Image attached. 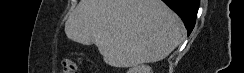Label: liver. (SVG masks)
Segmentation results:
<instances>
[{
	"label": "liver",
	"mask_w": 244,
	"mask_h": 73,
	"mask_svg": "<svg viewBox=\"0 0 244 73\" xmlns=\"http://www.w3.org/2000/svg\"><path fill=\"white\" fill-rule=\"evenodd\" d=\"M65 33L75 42L94 43L108 65L132 67L166 58L185 27L161 0H80Z\"/></svg>",
	"instance_id": "6515ba94"
}]
</instances>
